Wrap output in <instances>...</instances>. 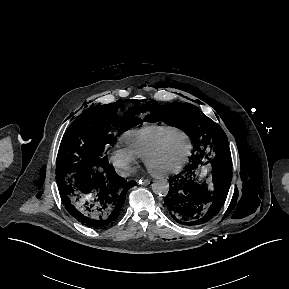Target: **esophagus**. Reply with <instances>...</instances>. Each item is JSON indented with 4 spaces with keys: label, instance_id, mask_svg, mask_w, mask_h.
<instances>
[{
    "label": "esophagus",
    "instance_id": "esophagus-1",
    "mask_svg": "<svg viewBox=\"0 0 289 289\" xmlns=\"http://www.w3.org/2000/svg\"><path fill=\"white\" fill-rule=\"evenodd\" d=\"M150 180L149 179H140L139 180V183L142 184V185H148L150 184Z\"/></svg>",
    "mask_w": 289,
    "mask_h": 289
}]
</instances>
